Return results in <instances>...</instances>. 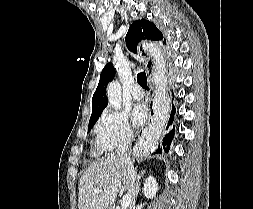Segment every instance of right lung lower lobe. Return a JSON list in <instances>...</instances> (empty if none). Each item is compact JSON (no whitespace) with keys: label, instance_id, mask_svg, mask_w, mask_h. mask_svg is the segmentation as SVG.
I'll use <instances>...</instances> for the list:
<instances>
[{"label":"right lung lower lobe","instance_id":"right-lung-lower-lobe-1","mask_svg":"<svg viewBox=\"0 0 253 209\" xmlns=\"http://www.w3.org/2000/svg\"><path fill=\"white\" fill-rule=\"evenodd\" d=\"M174 114H175V107L173 105L172 113H171L169 121L167 123L166 130L172 125V123L174 121ZM174 132H175V127L173 126V128L171 127V129L164 135L163 140H162V144L160 145V143H159V146L156 149L155 153H161L162 149H164L165 152L169 151L170 144H171L173 137H174Z\"/></svg>","mask_w":253,"mask_h":209}]
</instances>
